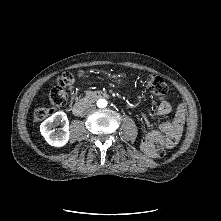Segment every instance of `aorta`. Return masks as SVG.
<instances>
[{
    "label": "aorta",
    "mask_w": 221,
    "mask_h": 221,
    "mask_svg": "<svg viewBox=\"0 0 221 221\" xmlns=\"http://www.w3.org/2000/svg\"><path fill=\"white\" fill-rule=\"evenodd\" d=\"M97 106L99 108H104L107 106V101L105 99H99L97 100Z\"/></svg>",
    "instance_id": "aorta-1"
}]
</instances>
